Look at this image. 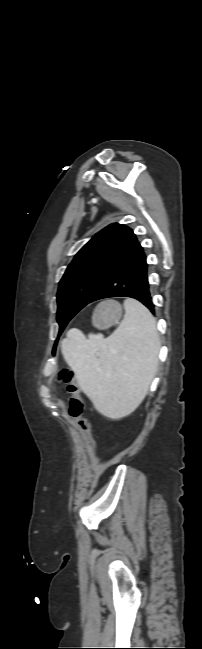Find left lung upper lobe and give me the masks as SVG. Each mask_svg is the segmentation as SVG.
<instances>
[{"instance_id": "5c2ea615", "label": "left lung upper lobe", "mask_w": 202, "mask_h": 649, "mask_svg": "<svg viewBox=\"0 0 202 649\" xmlns=\"http://www.w3.org/2000/svg\"><path fill=\"white\" fill-rule=\"evenodd\" d=\"M137 240L133 231L111 224L98 232L74 257L59 283V335L71 318L91 302L95 293Z\"/></svg>"}]
</instances>
